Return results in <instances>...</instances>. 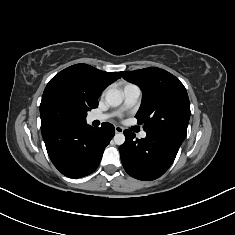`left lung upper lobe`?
I'll use <instances>...</instances> for the list:
<instances>
[{
	"mask_svg": "<svg viewBox=\"0 0 235 235\" xmlns=\"http://www.w3.org/2000/svg\"><path fill=\"white\" fill-rule=\"evenodd\" d=\"M120 74L143 91L135 117L139 124H144V131L167 134L184 141L190 118V102L184 85L174 75L157 67Z\"/></svg>",
	"mask_w": 235,
	"mask_h": 235,
	"instance_id": "left-lung-upper-lobe-1",
	"label": "left lung upper lobe"
}]
</instances>
